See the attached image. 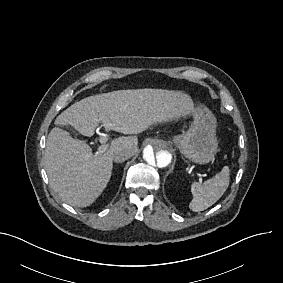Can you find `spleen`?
Wrapping results in <instances>:
<instances>
[{
  "instance_id": "obj_1",
  "label": "spleen",
  "mask_w": 283,
  "mask_h": 283,
  "mask_svg": "<svg viewBox=\"0 0 283 283\" xmlns=\"http://www.w3.org/2000/svg\"><path fill=\"white\" fill-rule=\"evenodd\" d=\"M229 168L224 166L220 173L204 182H192L190 191L193 196L189 203L192 211H203L213 205L229 186Z\"/></svg>"
}]
</instances>
